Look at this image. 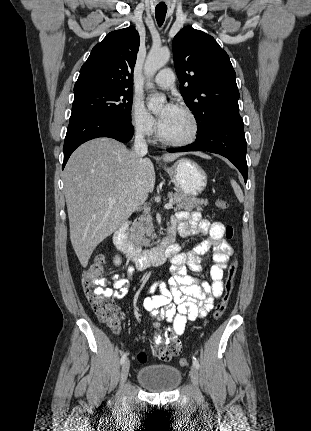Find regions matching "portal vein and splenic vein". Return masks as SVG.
Instances as JSON below:
<instances>
[{
	"instance_id": "obj_1",
	"label": "portal vein and splenic vein",
	"mask_w": 311,
	"mask_h": 431,
	"mask_svg": "<svg viewBox=\"0 0 311 431\" xmlns=\"http://www.w3.org/2000/svg\"><path fill=\"white\" fill-rule=\"evenodd\" d=\"M109 206H113V204H116L115 198H108ZM165 210H171L173 208V202H169V204H165L164 206ZM145 210H149V208H145Z\"/></svg>"
}]
</instances>
